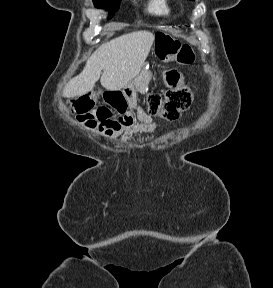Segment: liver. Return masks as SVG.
<instances>
[{
  "instance_id": "6515ba94",
  "label": "liver",
  "mask_w": 273,
  "mask_h": 288,
  "mask_svg": "<svg viewBox=\"0 0 273 288\" xmlns=\"http://www.w3.org/2000/svg\"><path fill=\"white\" fill-rule=\"evenodd\" d=\"M153 42V33L134 31L102 44L87 60L83 71L66 84L63 97H78L92 91L102 70L100 82L105 89L124 88L139 74Z\"/></svg>"
}]
</instances>
